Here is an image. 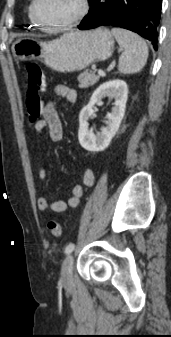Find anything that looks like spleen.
<instances>
[{
	"instance_id": "1",
	"label": "spleen",
	"mask_w": 171,
	"mask_h": 337,
	"mask_svg": "<svg viewBox=\"0 0 171 337\" xmlns=\"http://www.w3.org/2000/svg\"><path fill=\"white\" fill-rule=\"evenodd\" d=\"M111 33L124 52L119 57L118 70L122 74L140 72L148 59V46L136 33L121 28H113Z\"/></svg>"
}]
</instances>
